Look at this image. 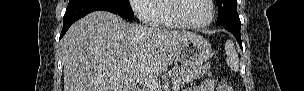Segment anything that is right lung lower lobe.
<instances>
[{
  "label": "right lung lower lobe",
  "instance_id": "1",
  "mask_svg": "<svg viewBox=\"0 0 304 91\" xmlns=\"http://www.w3.org/2000/svg\"><path fill=\"white\" fill-rule=\"evenodd\" d=\"M97 10L117 14L113 4L107 0H70L63 18V29L60 34V39L75 21Z\"/></svg>",
  "mask_w": 304,
  "mask_h": 91
}]
</instances>
